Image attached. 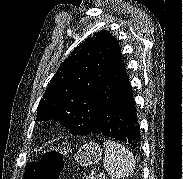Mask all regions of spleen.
<instances>
[{"label":"spleen","instance_id":"spleen-1","mask_svg":"<svg viewBox=\"0 0 183 179\" xmlns=\"http://www.w3.org/2000/svg\"><path fill=\"white\" fill-rule=\"evenodd\" d=\"M104 169L111 179L128 177L135 170V160L127 148L119 143L108 140L104 143Z\"/></svg>","mask_w":183,"mask_h":179}]
</instances>
